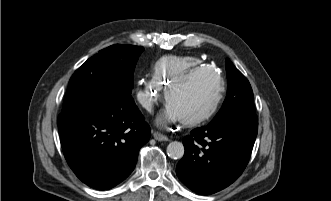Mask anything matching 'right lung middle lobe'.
Listing matches in <instances>:
<instances>
[{"mask_svg": "<svg viewBox=\"0 0 331 201\" xmlns=\"http://www.w3.org/2000/svg\"><path fill=\"white\" fill-rule=\"evenodd\" d=\"M141 46L115 44L99 51L71 77L62 113L131 95Z\"/></svg>", "mask_w": 331, "mask_h": 201, "instance_id": "1", "label": "right lung middle lobe"}]
</instances>
